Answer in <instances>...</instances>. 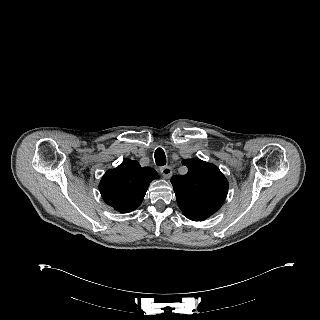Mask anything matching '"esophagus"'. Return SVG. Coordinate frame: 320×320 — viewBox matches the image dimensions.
Listing matches in <instances>:
<instances>
[{
	"label": "esophagus",
	"mask_w": 320,
	"mask_h": 320,
	"mask_svg": "<svg viewBox=\"0 0 320 320\" xmlns=\"http://www.w3.org/2000/svg\"><path fill=\"white\" fill-rule=\"evenodd\" d=\"M160 172L163 177L169 178L172 175V168L169 166H163L160 168Z\"/></svg>",
	"instance_id": "esophagus-1"
}]
</instances>
